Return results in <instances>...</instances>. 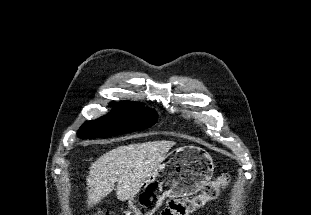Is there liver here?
I'll return each instance as SVG.
<instances>
[{"mask_svg": "<svg viewBox=\"0 0 311 215\" xmlns=\"http://www.w3.org/2000/svg\"><path fill=\"white\" fill-rule=\"evenodd\" d=\"M174 141L161 140L119 146L103 154L89 168L87 205L92 207L116 186L120 201L133 198L161 165Z\"/></svg>", "mask_w": 311, "mask_h": 215, "instance_id": "liver-1", "label": "liver"}]
</instances>
